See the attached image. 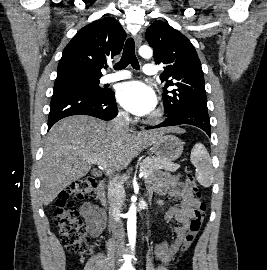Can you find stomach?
<instances>
[{"label":"stomach","instance_id":"0dacf381","mask_svg":"<svg viewBox=\"0 0 267 270\" xmlns=\"http://www.w3.org/2000/svg\"><path fill=\"white\" fill-rule=\"evenodd\" d=\"M154 154L166 161L178 159L183 152V143L172 134H164L152 144Z\"/></svg>","mask_w":267,"mask_h":270}]
</instances>
